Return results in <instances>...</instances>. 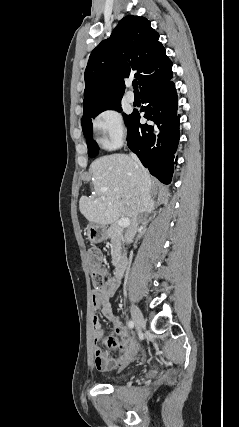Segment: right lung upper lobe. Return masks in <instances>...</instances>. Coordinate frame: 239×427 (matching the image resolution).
Returning a JSON list of instances; mask_svg holds the SVG:
<instances>
[{"mask_svg":"<svg viewBox=\"0 0 239 427\" xmlns=\"http://www.w3.org/2000/svg\"><path fill=\"white\" fill-rule=\"evenodd\" d=\"M158 39L159 34L148 19L130 15L120 20L110 38L103 40L89 57L84 75V115L94 108L120 102L124 79L130 75L138 79L141 90L172 72V62Z\"/></svg>","mask_w":239,"mask_h":427,"instance_id":"obj_1","label":"right lung upper lobe"}]
</instances>
